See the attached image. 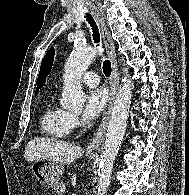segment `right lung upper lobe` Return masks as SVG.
<instances>
[{
  "label": "right lung upper lobe",
  "mask_w": 189,
  "mask_h": 195,
  "mask_svg": "<svg viewBox=\"0 0 189 195\" xmlns=\"http://www.w3.org/2000/svg\"><path fill=\"white\" fill-rule=\"evenodd\" d=\"M53 58H54V48H51L45 55L40 67V72L36 83L37 84L36 94L38 92V89L45 84L46 77L50 73V70L52 68Z\"/></svg>",
  "instance_id": "obj_1"
}]
</instances>
